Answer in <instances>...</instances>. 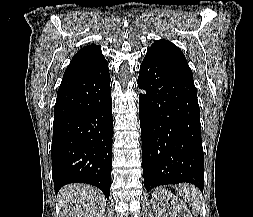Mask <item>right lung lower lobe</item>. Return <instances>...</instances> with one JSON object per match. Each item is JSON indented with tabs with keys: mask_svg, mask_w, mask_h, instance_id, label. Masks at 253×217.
Returning a JSON list of instances; mask_svg holds the SVG:
<instances>
[{
	"mask_svg": "<svg viewBox=\"0 0 253 217\" xmlns=\"http://www.w3.org/2000/svg\"><path fill=\"white\" fill-rule=\"evenodd\" d=\"M112 99L107 61L64 78L54 107L55 192L68 183L94 185L108 199L112 167Z\"/></svg>",
	"mask_w": 253,
	"mask_h": 217,
	"instance_id": "98d812e1",
	"label": "right lung lower lobe"
}]
</instances>
